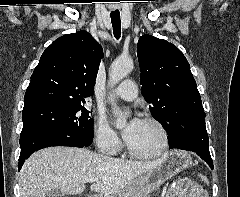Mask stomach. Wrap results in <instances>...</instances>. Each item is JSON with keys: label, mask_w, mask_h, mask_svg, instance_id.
<instances>
[{"label": "stomach", "mask_w": 240, "mask_h": 197, "mask_svg": "<svg viewBox=\"0 0 240 197\" xmlns=\"http://www.w3.org/2000/svg\"><path fill=\"white\" fill-rule=\"evenodd\" d=\"M193 164L190 154L174 150L166 154L163 161L155 168L129 182L118 193L108 197H146L150 192L176 174L191 167Z\"/></svg>", "instance_id": "1"}]
</instances>
